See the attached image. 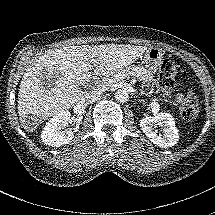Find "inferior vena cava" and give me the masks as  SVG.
<instances>
[{
    "label": "inferior vena cava",
    "mask_w": 215,
    "mask_h": 215,
    "mask_svg": "<svg viewBox=\"0 0 215 215\" xmlns=\"http://www.w3.org/2000/svg\"><path fill=\"white\" fill-rule=\"evenodd\" d=\"M105 91H106L105 87L104 88L96 87L95 89H91L87 92H84L83 99L90 100V99L97 98L99 95H102L103 92Z\"/></svg>",
    "instance_id": "602c4592"
}]
</instances>
